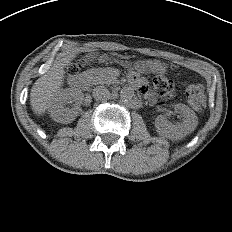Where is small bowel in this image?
<instances>
[{
    "instance_id": "obj_1",
    "label": "small bowel",
    "mask_w": 232,
    "mask_h": 232,
    "mask_svg": "<svg viewBox=\"0 0 232 232\" xmlns=\"http://www.w3.org/2000/svg\"><path fill=\"white\" fill-rule=\"evenodd\" d=\"M140 84V89L146 93V95L148 96V98L151 100V101H154V98H153V95L149 92H147V89H146V86L144 85V83H139Z\"/></svg>"
}]
</instances>
